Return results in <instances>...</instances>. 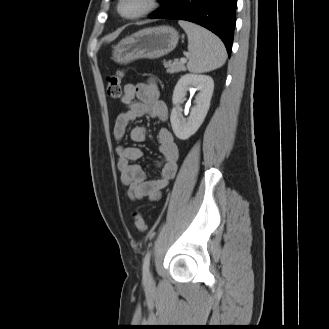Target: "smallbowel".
Instances as JSON below:
<instances>
[{
	"mask_svg": "<svg viewBox=\"0 0 329 329\" xmlns=\"http://www.w3.org/2000/svg\"><path fill=\"white\" fill-rule=\"evenodd\" d=\"M159 96V86L155 81L126 84L123 87L121 102L125 109L117 116L113 127L117 142L124 139L129 123L137 118L150 116L161 121L167 119V106ZM128 137L134 143L143 142L147 137V129L142 125L134 126L128 130ZM157 137L162 160L159 162V175L152 180H148L143 167L135 163L143 156L141 149L123 144L116 147V164L121 181L128 187V196L133 200H157L161 190L176 174L179 149L173 134L163 127L159 129Z\"/></svg>",
	"mask_w": 329,
	"mask_h": 329,
	"instance_id": "1",
	"label": "small bowel"
}]
</instances>
